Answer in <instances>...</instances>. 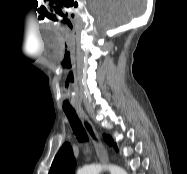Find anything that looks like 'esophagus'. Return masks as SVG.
<instances>
[{
    "mask_svg": "<svg viewBox=\"0 0 187 174\" xmlns=\"http://www.w3.org/2000/svg\"><path fill=\"white\" fill-rule=\"evenodd\" d=\"M76 112L84 129L86 130L94 145L99 160L104 164L108 163V150L105 144L103 143L99 132L96 130V128L94 127V125L92 124V122L90 121L87 114L84 112L82 108H77Z\"/></svg>",
    "mask_w": 187,
    "mask_h": 174,
    "instance_id": "34e87169",
    "label": "esophagus"
}]
</instances>
